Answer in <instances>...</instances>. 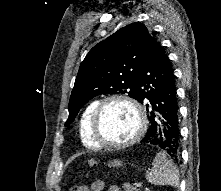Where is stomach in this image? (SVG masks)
<instances>
[{
    "mask_svg": "<svg viewBox=\"0 0 221 191\" xmlns=\"http://www.w3.org/2000/svg\"><path fill=\"white\" fill-rule=\"evenodd\" d=\"M110 165H111V166H114V167H118V166H121V165H122V161H120V160H114V161L110 162Z\"/></svg>",
    "mask_w": 221,
    "mask_h": 191,
    "instance_id": "stomach-1",
    "label": "stomach"
}]
</instances>
